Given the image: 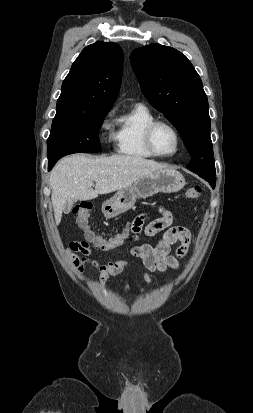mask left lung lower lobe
I'll list each match as a JSON object with an SVG mask.
<instances>
[{
	"label": "left lung lower lobe",
	"instance_id": "0a47b994",
	"mask_svg": "<svg viewBox=\"0 0 253 413\" xmlns=\"http://www.w3.org/2000/svg\"><path fill=\"white\" fill-rule=\"evenodd\" d=\"M199 176L204 178L206 181H208L213 189L215 188L216 177L207 176V175H199Z\"/></svg>",
	"mask_w": 253,
	"mask_h": 413
}]
</instances>
